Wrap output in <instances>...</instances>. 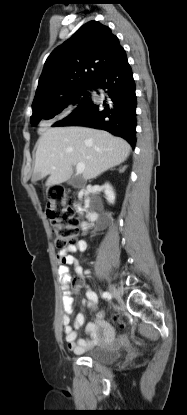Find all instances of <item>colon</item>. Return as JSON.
I'll return each instance as SVG.
<instances>
[{
  "label": "colon",
  "instance_id": "colon-1",
  "mask_svg": "<svg viewBox=\"0 0 187 415\" xmlns=\"http://www.w3.org/2000/svg\"><path fill=\"white\" fill-rule=\"evenodd\" d=\"M50 202L48 206V217L56 238V246L64 249L72 244L79 235L81 222L74 212L70 197L61 185L50 188ZM124 328V324H120Z\"/></svg>",
  "mask_w": 187,
  "mask_h": 415
}]
</instances>
